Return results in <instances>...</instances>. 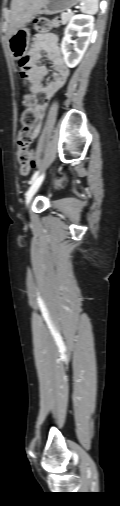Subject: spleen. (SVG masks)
<instances>
[{"instance_id":"1","label":"spleen","mask_w":120,"mask_h":506,"mask_svg":"<svg viewBox=\"0 0 120 506\" xmlns=\"http://www.w3.org/2000/svg\"><path fill=\"white\" fill-rule=\"evenodd\" d=\"M81 11L87 14H96L98 11V0H80Z\"/></svg>"}]
</instances>
